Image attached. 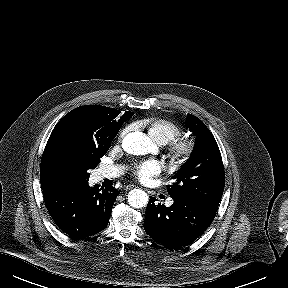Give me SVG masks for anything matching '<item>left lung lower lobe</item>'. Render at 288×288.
Here are the masks:
<instances>
[{
    "label": "left lung lower lobe",
    "mask_w": 288,
    "mask_h": 288,
    "mask_svg": "<svg viewBox=\"0 0 288 288\" xmlns=\"http://www.w3.org/2000/svg\"><path fill=\"white\" fill-rule=\"evenodd\" d=\"M150 197L145 211L146 233L169 249L183 248L210 226L216 209L191 200L174 199L170 207L155 204Z\"/></svg>",
    "instance_id": "left-lung-lower-lobe-1"
}]
</instances>
